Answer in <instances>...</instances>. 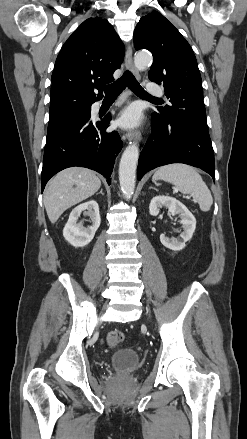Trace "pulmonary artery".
Listing matches in <instances>:
<instances>
[{"label":"pulmonary artery","instance_id":"pulmonary-artery-1","mask_svg":"<svg viewBox=\"0 0 247 439\" xmlns=\"http://www.w3.org/2000/svg\"><path fill=\"white\" fill-rule=\"evenodd\" d=\"M147 91L149 94L161 96L163 94L162 88L154 82L147 84Z\"/></svg>","mask_w":247,"mask_h":439}]
</instances>
